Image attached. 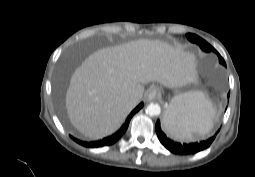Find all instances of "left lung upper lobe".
Masks as SVG:
<instances>
[{
  "mask_svg": "<svg viewBox=\"0 0 255 177\" xmlns=\"http://www.w3.org/2000/svg\"><path fill=\"white\" fill-rule=\"evenodd\" d=\"M186 36L191 42L198 44L203 51L215 52L219 57V62L222 65L226 66V63H225L224 59L221 57V55L210 44H208L204 39L200 38L199 36H197L195 34H191V33H188Z\"/></svg>",
  "mask_w": 255,
  "mask_h": 177,
  "instance_id": "obj_1",
  "label": "left lung upper lobe"
}]
</instances>
